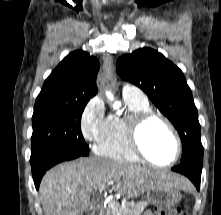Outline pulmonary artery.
I'll list each match as a JSON object with an SVG mask.
<instances>
[{
	"label": "pulmonary artery",
	"mask_w": 221,
	"mask_h": 215,
	"mask_svg": "<svg viewBox=\"0 0 221 215\" xmlns=\"http://www.w3.org/2000/svg\"><path fill=\"white\" fill-rule=\"evenodd\" d=\"M122 96L136 98V99L146 98L144 93L139 88L129 85V84H124L122 86Z\"/></svg>",
	"instance_id": "pulmonary-artery-1"
}]
</instances>
